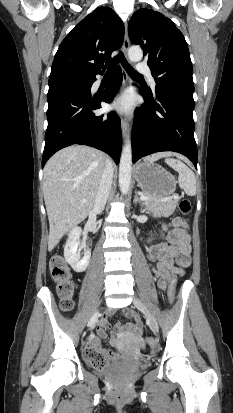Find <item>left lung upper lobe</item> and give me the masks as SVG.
Wrapping results in <instances>:
<instances>
[{"label":"left lung upper lobe","instance_id":"obj_1","mask_svg":"<svg viewBox=\"0 0 233 413\" xmlns=\"http://www.w3.org/2000/svg\"><path fill=\"white\" fill-rule=\"evenodd\" d=\"M130 40L139 44L157 85L193 95V67L186 40L176 25L152 9L137 10L128 24Z\"/></svg>","mask_w":233,"mask_h":413}]
</instances>
